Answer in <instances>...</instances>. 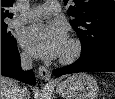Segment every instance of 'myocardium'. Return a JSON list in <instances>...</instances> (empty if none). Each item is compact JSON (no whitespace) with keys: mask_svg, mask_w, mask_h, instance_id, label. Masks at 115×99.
<instances>
[{"mask_svg":"<svg viewBox=\"0 0 115 99\" xmlns=\"http://www.w3.org/2000/svg\"><path fill=\"white\" fill-rule=\"evenodd\" d=\"M83 52V46L80 40L78 39H70L67 42L66 48L61 56V63L63 64H71L80 58Z\"/></svg>","mask_w":115,"mask_h":99,"instance_id":"f54148a6","label":"myocardium"}]
</instances>
